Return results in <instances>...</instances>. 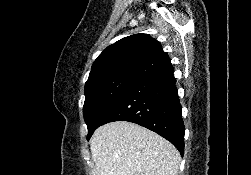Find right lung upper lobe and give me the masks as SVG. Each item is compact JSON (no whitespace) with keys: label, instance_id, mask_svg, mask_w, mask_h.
Segmentation results:
<instances>
[{"label":"right lung upper lobe","instance_id":"1","mask_svg":"<svg viewBox=\"0 0 251 175\" xmlns=\"http://www.w3.org/2000/svg\"><path fill=\"white\" fill-rule=\"evenodd\" d=\"M172 68L157 40L148 34H135L108 46L97 57L85 85L120 75L142 80Z\"/></svg>","mask_w":251,"mask_h":175}]
</instances>
